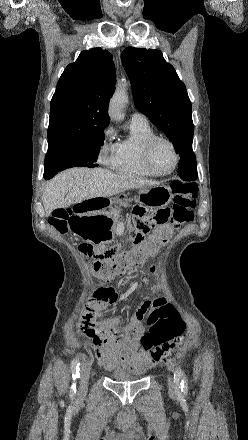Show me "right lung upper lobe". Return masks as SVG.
Masks as SVG:
<instances>
[{"instance_id": "obj_1", "label": "right lung upper lobe", "mask_w": 248, "mask_h": 440, "mask_svg": "<svg viewBox=\"0 0 248 440\" xmlns=\"http://www.w3.org/2000/svg\"><path fill=\"white\" fill-rule=\"evenodd\" d=\"M115 78L113 57L107 50L81 52L62 73L51 100L48 144L105 129Z\"/></svg>"}]
</instances>
